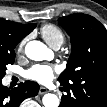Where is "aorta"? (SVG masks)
Segmentation results:
<instances>
[{
    "instance_id": "obj_1",
    "label": "aorta",
    "mask_w": 107,
    "mask_h": 107,
    "mask_svg": "<svg viewBox=\"0 0 107 107\" xmlns=\"http://www.w3.org/2000/svg\"><path fill=\"white\" fill-rule=\"evenodd\" d=\"M48 53L49 49L40 41L33 40L25 46V54L31 60L42 61L47 57ZM42 102L45 107H58L60 104L58 96L51 93L45 94Z\"/></svg>"
}]
</instances>
